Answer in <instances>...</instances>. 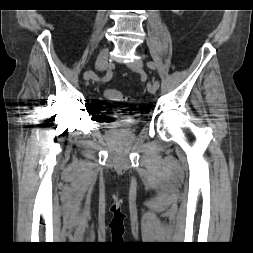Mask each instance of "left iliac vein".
Returning a JSON list of instances; mask_svg holds the SVG:
<instances>
[{
  "label": "left iliac vein",
  "mask_w": 253,
  "mask_h": 253,
  "mask_svg": "<svg viewBox=\"0 0 253 253\" xmlns=\"http://www.w3.org/2000/svg\"><path fill=\"white\" fill-rule=\"evenodd\" d=\"M128 68L136 72H143V62L141 60H135L134 62L128 64ZM147 90L149 93L154 94L157 88L154 86V84L148 82Z\"/></svg>",
  "instance_id": "left-iliac-vein-1"
}]
</instances>
